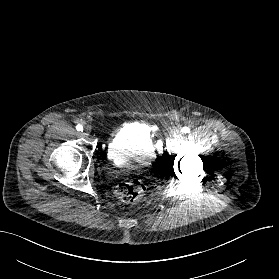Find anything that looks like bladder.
I'll return each mask as SVG.
<instances>
[{
	"label": "bladder",
	"mask_w": 279,
	"mask_h": 279,
	"mask_svg": "<svg viewBox=\"0 0 279 279\" xmlns=\"http://www.w3.org/2000/svg\"><path fill=\"white\" fill-rule=\"evenodd\" d=\"M107 154L124 169L150 166L156 159L155 142L150 127L142 122L122 125L108 139Z\"/></svg>",
	"instance_id": "1"
}]
</instances>
